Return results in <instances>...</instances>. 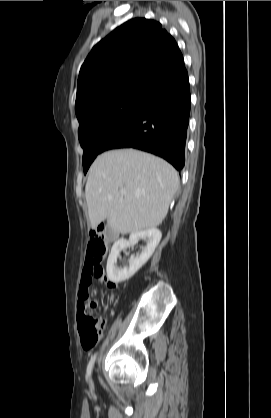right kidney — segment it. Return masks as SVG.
Instances as JSON below:
<instances>
[{
    "label": "right kidney",
    "mask_w": 271,
    "mask_h": 418,
    "mask_svg": "<svg viewBox=\"0 0 271 418\" xmlns=\"http://www.w3.org/2000/svg\"><path fill=\"white\" fill-rule=\"evenodd\" d=\"M161 231L157 228H150L135 233H131L129 240L119 239L117 240L111 249L107 260V277L114 283L123 282L131 278L152 256L155 248L161 240ZM140 239H144L147 245L142 249L140 255L131 256L129 260V266L119 268L116 266L117 258L120 251L136 244Z\"/></svg>",
    "instance_id": "ca27d5eb"
}]
</instances>
